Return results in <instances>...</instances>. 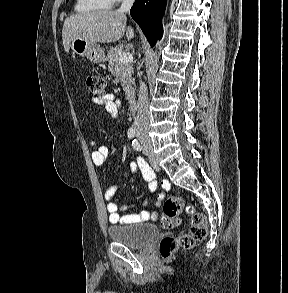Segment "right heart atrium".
Masks as SVG:
<instances>
[{
  "label": "right heart atrium",
  "mask_w": 288,
  "mask_h": 293,
  "mask_svg": "<svg viewBox=\"0 0 288 293\" xmlns=\"http://www.w3.org/2000/svg\"><path fill=\"white\" fill-rule=\"evenodd\" d=\"M113 2H117V1H120V0H112Z\"/></svg>",
  "instance_id": "d8ad5b80"
}]
</instances>
